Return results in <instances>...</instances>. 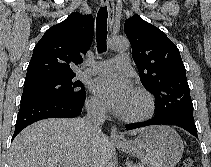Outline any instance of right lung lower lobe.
Segmentation results:
<instances>
[{"label": "right lung lower lobe", "mask_w": 211, "mask_h": 167, "mask_svg": "<svg viewBox=\"0 0 211 167\" xmlns=\"http://www.w3.org/2000/svg\"><path fill=\"white\" fill-rule=\"evenodd\" d=\"M86 93L77 100H49L23 103L17 115L12 140L28 125L46 118H73L78 116L85 101Z\"/></svg>", "instance_id": "obj_1"}]
</instances>
